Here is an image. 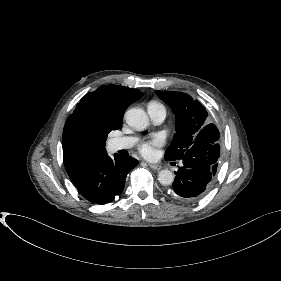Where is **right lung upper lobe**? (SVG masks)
Listing matches in <instances>:
<instances>
[{"label": "right lung upper lobe", "instance_id": "1", "mask_svg": "<svg viewBox=\"0 0 281 281\" xmlns=\"http://www.w3.org/2000/svg\"><path fill=\"white\" fill-rule=\"evenodd\" d=\"M144 94L137 89L118 85H103L96 91L84 96L77 108L87 107L100 118L113 126H121V118L127 107L140 99ZM64 165L68 175L73 174L89 159L75 160L63 152Z\"/></svg>", "mask_w": 281, "mask_h": 281}]
</instances>
